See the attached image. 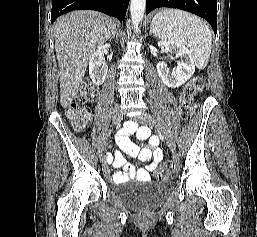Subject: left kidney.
I'll use <instances>...</instances> for the list:
<instances>
[{"label":"left kidney","mask_w":257,"mask_h":237,"mask_svg":"<svg viewBox=\"0 0 257 237\" xmlns=\"http://www.w3.org/2000/svg\"><path fill=\"white\" fill-rule=\"evenodd\" d=\"M158 46L179 58L177 67L172 71H170L165 62H159L157 64L156 69L160 79L168 87L177 88L181 86L189 80L195 72V65L189 50L177 42L159 41Z\"/></svg>","instance_id":"left-kidney-1"}]
</instances>
